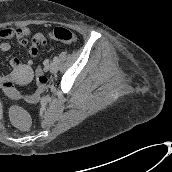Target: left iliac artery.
Returning a JSON list of instances; mask_svg holds the SVG:
<instances>
[{
    "label": "left iliac artery",
    "instance_id": "obj_1",
    "mask_svg": "<svg viewBox=\"0 0 172 172\" xmlns=\"http://www.w3.org/2000/svg\"><path fill=\"white\" fill-rule=\"evenodd\" d=\"M53 61H54V62H57V61H58V57H54V58H53Z\"/></svg>",
    "mask_w": 172,
    "mask_h": 172
}]
</instances>
